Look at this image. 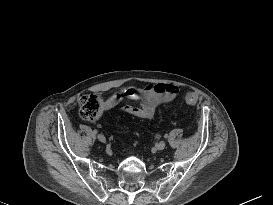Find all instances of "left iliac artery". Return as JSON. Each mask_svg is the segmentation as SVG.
<instances>
[{"instance_id": "1", "label": "left iliac artery", "mask_w": 273, "mask_h": 205, "mask_svg": "<svg viewBox=\"0 0 273 205\" xmlns=\"http://www.w3.org/2000/svg\"><path fill=\"white\" fill-rule=\"evenodd\" d=\"M164 137H165V138H168V134H165Z\"/></svg>"}]
</instances>
